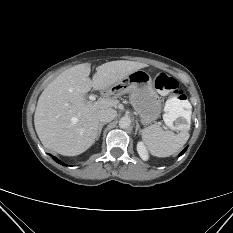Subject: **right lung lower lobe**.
Returning a JSON list of instances; mask_svg holds the SVG:
<instances>
[{
	"instance_id": "98d812e1",
	"label": "right lung lower lobe",
	"mask_w": 233,
	"mask_h": 233,
	"mask_svg": "<svg viewBox=\"0 0 233 233\" xmlns=\"http://www.w3.org/2000/svg\"><path fill=\"white\" fill-rule=\"evenodd\" d=\"M52 158L59 164H62L64 166H66L63 162H61L59 159H57L56 157L52 156Z\"/></svg>"
}]
</instances>
